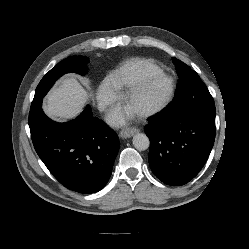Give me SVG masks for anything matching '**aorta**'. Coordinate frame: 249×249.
I'll return each mask as SVG.
<instances>
[{
	"instance_id": "aorta-1",
	"label": "aorta",
	"mask_w": 249,
	"mask_h": 249,
	"mask_svg": "<svg viewBox=\"0 0 249 249\" xmlns=\"http://www.w3.org/2000/svg\"><path fill=\"white\" fill-rule=\"evenodd\" d=\"M133 146L139 150L144 151L149 148L150 141L146 134L137 133L133 136L132 139Z\"/></svg>"
}]
</instances>
